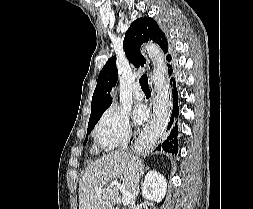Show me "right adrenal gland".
Returning a JSON list of instances; mask_svg holds the SVG:
<instances>
[{"label":"right adrenal gland","mask_w":253,"mask_h":209,"mask_svg":"<svg viewBox=\"0 0 253 209\" xmlns=\"http://www.w3.org/2000/svg\"><path fill=\"white\" fill-rule=\"evenodd\" d=\"M149 170L148 167H143L138 173H137V194L136 196H138L139 194V181H140V178L144 175V173Z\"/></svg>","instance_id":"right-adrenal-gland-1"}]
</instances>
